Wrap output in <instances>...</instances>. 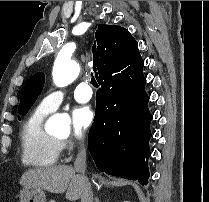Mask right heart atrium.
Listing matches in <instances>:
<instances>
[{"label":"right heart atrium","instance_id":"1","mask_svg":"<svg viewBox=\"0 0 209 202\" xmlns=\"http://www.w3.org/2000/svg\"><path fill=\"white\" fill-rule=\"evenodd\" d=\"M60 146L61 147H68V146H70V142L68 140H61Z\"/></svg>","mask_w":209,"mask_h":202}]
</instances>
